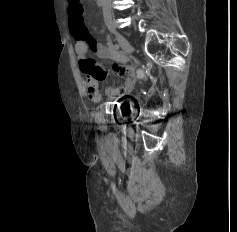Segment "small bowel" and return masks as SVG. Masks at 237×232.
Here are the masks:
<instances>
[{"label":"small bowel","mask_w":237,"mask_h":232,"mask_svg":"<svg viewBox=\"0 0 237 232\" xmlns=\"http://www.w3.org/2000/svg\"><path fill=\"white\" fill-rule=\"evenodd\" d=\"M72 32L75 38V51L78 56L79 67L85 80L89 98L95 102L101 100L99 83L111 72L121 76L124 81L118 87L108 88V96L118 98L130 93L135 83L134 72L131 68L125 65L114 64L110 70H107L88 56L89 52H92L100 58L122 62L119 52L110 45L98 42L90 35L87 29L82 34Z\"/></svg>","instance_id":"1"}]
</instances>
